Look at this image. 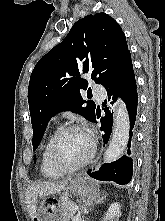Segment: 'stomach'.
Instances as JSON below:
<instances>
[{"label":"stomach","instance_id":"0dacf381","mask_svg":"<svg viewBox=\"0 0 165 221\" xmlns=\"http://www.w3.org/2000/svg\"><path fill=\"white\" fill-rule=\"evenodd\" d=\"M67 191L82 198L92 197L97 194V184L86 177H76L70 181ZM35 209L31 212L32 221H65V218L56 217L57 213H63L62 200H36Z\"/></svg>","mask_w":165,"mask_h":221}]
</instances>
